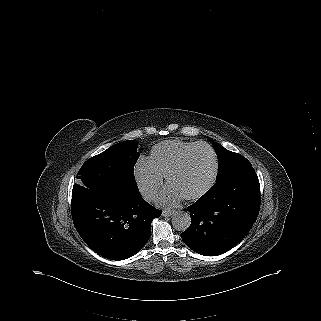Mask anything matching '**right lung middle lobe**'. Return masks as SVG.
Wrapping results in <instances>:
<instances>
[{
  "label": "right lung middle lobe",
  "instance_id": "1",
  "mask_svg": "<svg viewBox=\"0 0 321 321\" xmlns=\"http://www.w3.org/2000/svg\"><path fill=\"white\" fill-rule=\"evenodd\" d=\"M138 142L123 141L88 159L77 175L72 199L88 194H109L126 198L138 193L134 166L140 156Z\"/></svg>",
  "mask_w": 321,
  "mask_h": 321
}]
</instances>
